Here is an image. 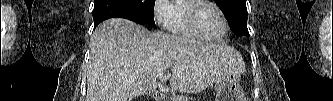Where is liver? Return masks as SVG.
<instances>
[{
  "label": "liver",
  "mask_w": 333,
  "mask_h": 101,
  "mask_svg": "<svg viewBox=\"0 0 333 101\" xmlns=\"http://www.w3.org/2000/svg\"><path fill=\"white\" fill-rule=\"evenodd\" d=\"M244 70L241 56L230 46L150 32L113 18L101 23L91 38L86 101H132L155 91L157 75L169 71L173 89L200 93Z\"/></svg>",
  "instance_id": "1"
}]
</instances>
